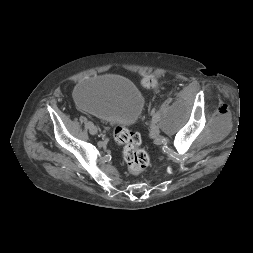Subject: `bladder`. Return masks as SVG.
Returning <instances> with one entry per match:
<instances>
[{
	"label": "bladder",
	"instance_id": "31cf9c89",
	"mask_svg": "<svg viewBox=\"0 0 253 253\" xmlns=\"http://www.w3.org/2000/svg\"><path fill=\"white\" fill-rule=\"evenodd\" d=\"M73 95L78 106L112 125H132L145 104L132 81L113 75L85 79L75 86Z\"/></svg>",
	"mask_w": 253,
	"mask_h": 253
}]
</instances>
